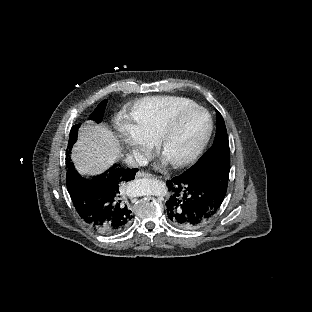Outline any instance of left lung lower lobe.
Here are the masks:
<instances>
[{
  "label": "left lung lower lobe",
  "mask_w": 312,
  "mask_h": 312,
  "mask_svg": "<svg viewBox=\"0 0 312 312\" xmlns=\"http://www.w3.org/2000/svg\"><path fill=\"white\" fill-rule=\"evenodd\" d=\"M230 163L185 171L167 181L172 196L166 202L170 221L181 228H199L211 221L225 197Z\"/></svg>",
  "instance_id": "obj_1"
}]
</instances>
